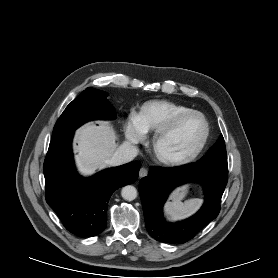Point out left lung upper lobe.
<instances>
[{
  "mask_svg": "<svg viewBox=\"0 0 278 278\" xmlns=\"http://www.w3.org/2000/svg\"><path fill=\"white\" fill-rule=\"evenodd\" d=\"M197 166L221 172H228L226 147L222 135L206 155L195 163Z\"/></svg>",
  "mask_w": 278,
  "mask_h": 278,
  "instance_id": "left-lung-upper-lobe-1",
  "label": "left lung upper lobe"
}]
</instances>
